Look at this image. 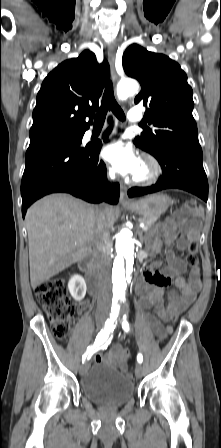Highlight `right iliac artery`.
Wrapping results in <instances>:
<instances>
[{"mask_svg":"<svg viewBox=\"0 0 221 448\" xmlns=\"http://www.w3.org/2000/svg\"><path fill=\"white\" fill-rule=\"evenodd\" d=\"M115 319L116 318L114 316H112V317H110V319H108L105 322V327L98 333L94 344L91 346H88L86 352L83 354L82 363H84L86 360H89L91 358L92 354L95 353L96 351H98L99 348L101 347V345L107 340V338L109 337V334L114 331L115 326H116L114 324Z\"/></svg>","mask_w":221,"mask_h":448,"instance_id":"1","label":"right iliac artery"}]
</instances>
